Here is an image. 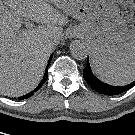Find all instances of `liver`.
I'll use <instances>...</instances> for the list:
<instances>
[{
	"instance_id": "6515ba94",
	"label": "liver",
	"mask_w": 135,
	"mask_h": 135,
	"mask_svg": "<svg viewBox=\"0 0 135 135\" xmlns=\"http://www.w3.org/2000/svg\"><path fill=\"white\" fill-rule=\"evenodd\" d=\"M49 0H0V93L18 97L41 80L68 19ZM40 24L20 30L23 22Z\"/></svg>"
}]
</instances>
